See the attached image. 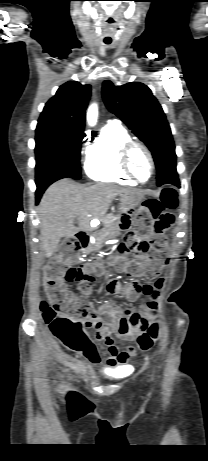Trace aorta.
<instances>
[{"instance_id": "obj_1", "label": "aorta", "mask_w": 208, "mask_h": 461, "mask_svg": "<svg viewBox=\"0 0 208 461\" xmlns=\"http://www.w3.org/2000/svg\"><path fill=\"white\" fill-rule=\"evenodd\" d=\"M98 119V106L96 103H92L88 109L86 114V120L89 126L93 127L96 125Z\"/></svg>"}]
</instances>
